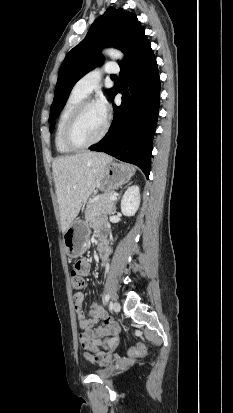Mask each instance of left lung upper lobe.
<instances>
[{
	"mask_svg": "<svg viewBox=\"0 0 233 413\" xmlns=\"http://www.w3.org/2000/svg\"><path fill=\"white\" fill-rule=\"evenodd\" d=\"M145 38L144 29L135 14L121 8H108L95 20L85 38L66 55L59 69L49 122L59 115L76 82L102 62L99 54L102 47L113 46L127 58ZM113 89L108 90L110 95Z\"/></svg>",
	"mask_w": 233,
	"mask_h": 413,
	"instance_id": "obj_1",
	"label": "left lung upper lobe"
}]
</instances>
